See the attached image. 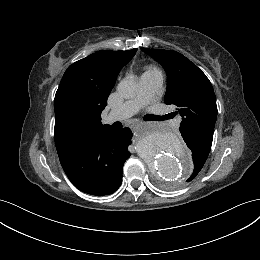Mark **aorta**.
<instances>
[{
	"instance_id": "aorta-1",
	"label": "aorta",
	"mask_w": 260,
	"mask_h": 260,
	"mask_svg": "<svg viewBox=\"0 0 260 260\" xmlns=\"http://www.w3.org/2000/svg\"><path fill=\"white\" fill-rule=\"evenodd\" d=\"M117 90L124 98L134 97L138 83L131 78L120 81ZM137 149L151 167L153 175L166 182L186 178L191 171V159L184 144L173 132L161 125L143 126Z\"/></svg>"
}]
</instances>
